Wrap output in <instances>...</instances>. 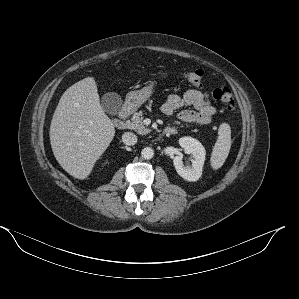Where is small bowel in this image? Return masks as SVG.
<instances>
[{
  "instance_id": "1",
  "label": "small bowel",
  "mask_w": 299,
  "mask_h": 299,
  "mask_svg": "<svg viewBox=\"0 0 299 299\" xmlns=\"http://www.w3.org/2000/svg\"><path fill=\"white\" fill-rule=\"evenodd\" d=\"M188 107L191 109H184ZM161 110L166 116L176 114L183 122L201 125L212 124L216 114L215 107L210 103L209 94L197 89H190L182 96L169 95L162 104Z\"/></svg>"
}]
</instances>
